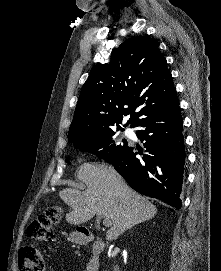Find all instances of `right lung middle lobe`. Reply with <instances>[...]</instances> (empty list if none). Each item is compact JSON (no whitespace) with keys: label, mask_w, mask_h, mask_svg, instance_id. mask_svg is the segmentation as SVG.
<instances>
[{"label":"right lung middle lobe","mask_w":221,"mask_h":271,"mask_svg":"<svg viewBox=\"0 0 221 271\" xmlns=\"http://www.w3.org/2000/svg\"><path fill=\"white\" fill-rule=\"evenodd\" d=\"M114 128L82 136L72 140V142H74L75 148L83 152L94 153L112 164L129 147L125 139L119 140L115 136ZM119 129L121 127L117 126V130Z\"/></svg>","instance_id":"dd1d6c3e"}]
</instances>
